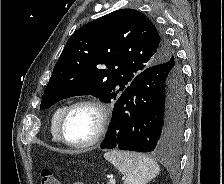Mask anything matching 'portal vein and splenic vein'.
<instances>
[{"mask_svg":"<svg viewBox=\"0 0 224 184\" xmlns=\"http://www.w3.org/2000/svg\"><path fill=\"white\" fill-rule=\"evenodd\" d=\"M115 179H113V178H111V179H109V183L108 184H115Z\"/></svg>","mask_w":224,"mask_h":184,"instance_id":"1","label":"portal vein and splenic vein"}]
</instances>
